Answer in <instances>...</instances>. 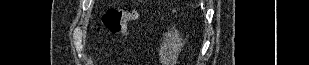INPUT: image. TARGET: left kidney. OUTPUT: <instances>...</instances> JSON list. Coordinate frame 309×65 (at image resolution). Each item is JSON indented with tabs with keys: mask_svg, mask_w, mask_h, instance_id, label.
<instances>
[{
	"mask_svg": "<svg viewBox=\"0 0 309 65\" xmlns=\"http://www.w3.org/2000/svg\"><path fill=\"white\" fill-rule=\"evenodd\" d=\"M183 39L177 29L165 34L159 50V61L162 65H175L181 52Z\"/></svg>",
	"mask_w": 309,
	"mask_h": 65,
	"instance_id": "obj_1",
	"label": "left kidney"
}]
</instances>
